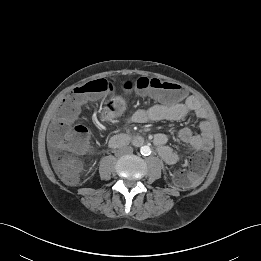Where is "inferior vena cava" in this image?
<instances>
[{"label": "inferior vena cava", "instance_id": "obj_1", "mask_svg": "<svg viewBox=\"0 0 261 261\" xmlns=\"http://www.w3.org/2000/svg\"><path fill=\"white\" fill-rule=\"evenodd\" d=\"M120 152L123 154H131L133 152V148L131 146H125L120 149Z\"/></svg>", "mask_w": 261, "mask_h": 261}]
</instances>
